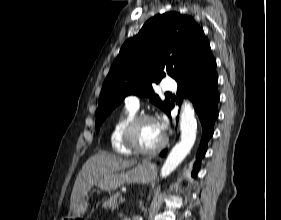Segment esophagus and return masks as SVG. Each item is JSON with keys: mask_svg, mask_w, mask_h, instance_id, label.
Returning a JSON list of instances; mask_svg holds the SVG:
<instances>
[{"mask_svg": "<svg viewBox=\"0 0 281 220\" xmlns=\"http://www.w3.org/2000/svg\"><path fill=\"white\" fill-rule=\"evenodd\" d=\"M149 167H150V168H155V167H156V163H155V162L151 163V164L149 165Z\"/></svg>", "mask_w": 281, "mask_h": 220, "instance_id": "1", "label": "esophagus"}]
</instances>
